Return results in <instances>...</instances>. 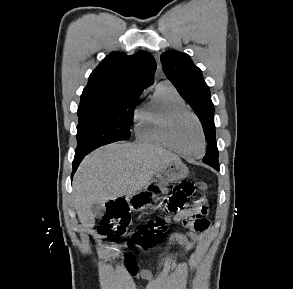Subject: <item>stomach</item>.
I'll list each match as a JSON object with an SVG mask.
<instances>
[{"instance_id":"1","label":"stomach","mask_w":293,"mask_h":289,"mask_svg":"<svg viewBox=\"0 0 293 289\" xmlns=\"http://www.w3.org/2000/svg\"><path fill=\"white\" fill-rule=\"evenodd\" d=\"M188 174V168L181 161L166 164L156 174V179L151 180L138 193L128 196L131 209L138 212L160 208L168 193L167 185L186 178Z\"/></svg>"}]
</instances>
